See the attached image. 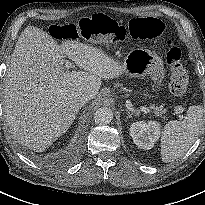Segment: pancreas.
Segmentation results:
<instances>
[{
  "label": "pancreas",
  "instance_id": "pancreas-1",
  "mask_svg": "<svg viewBox=\"0 0 205 205\" xmlns=\"http://www.w3.org/2000/svg\"><path fill=\"white\" fill-rule=\"evenodd\" d=\"M150 109L156 116H162L166 112V109H163L162 105L156 106L153 104L150 106Z\"/></svg>",
  "mask_w": 205,
  "mask_h": 205
}]
</instances>
